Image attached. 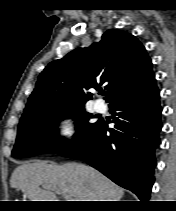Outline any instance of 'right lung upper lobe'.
<instances>
[{
    "instance_id": "right-lung-upper-lobe-1",
    "label": "right lung upper lobe",
    "mask_w": 176,
    "mask_h": 211,
    "mask_svg": "<svg viewBox=\"0 0 176 211\" xmlns=\"http://www.w3.org/2000/svg\"><path fill=\"white\" fill-rule=\"evenodd\" d=\"M155 82L144 46L127 32L111 29L88 48H77L48 64L40 74L22 118L49 109L84 106L101 85L109 106L133 98ZM21 118V119H22Z\"/></svg>"
}]
</instances>
